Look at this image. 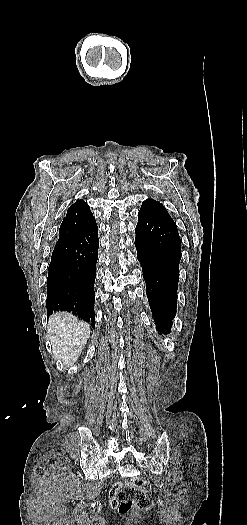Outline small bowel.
<instances>
[{"mask_svg": "<svg viewBox=\"0 0 247 525\" xmlns=\"http://www.w3.org/2000/svg\"><path fill=\"white\" fill-rule=\"evenodd\" d=\"M119 486H120V483L118 481H115L113 483V485H111V487H110V491H109L110 496L108 497V500L110 501L109 502V505H110L109 510L112 513H115L118 510V507H117L118 502H117V500H115V496H117V494H118Z\"/></svg>", "mask_w": 247, "mask_h": 525, "instance_id": "obj_1", "label": "small bowel"}]
</instances>
